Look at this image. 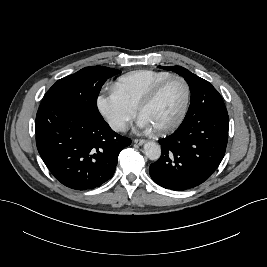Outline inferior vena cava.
Wrapping results in <instances>:
<instances>
[{
	"label": "inferior vena cava",
	"mask_w": 267,
	"mask_h": 267,
	"mask_svg": "<svg viewBox=\"0 0 267 267\" xmlns=\"http://www.w3.org/2000/svg\"><path fill=\"white\" fill-rule=\"evenodd\" d=\"M111 127L115 131H125L126 124L123 120H114L110 123Z\"/></svg>",
	"instance_id": "602c4592"
}]
</instances>
